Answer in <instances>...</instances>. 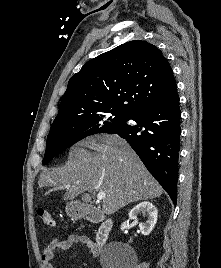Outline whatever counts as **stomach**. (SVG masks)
Instances as JSON below:
<instances>
[{"mask_svg":"<svg viewBox=\"0 0 221 268\" xmlns=\"http://www.w3.org/2000/svg\"><path fill=\"white\" fill-rule=\"evenodd\" d=\"M66 213L69 217L80 219L85 215L86 209L83 205L75 202H70L66 205Z\"/></svg>","mask_w":221,"mask_h":268,"instance_id":"obj_1","label":"stomach"}]
</instances>
